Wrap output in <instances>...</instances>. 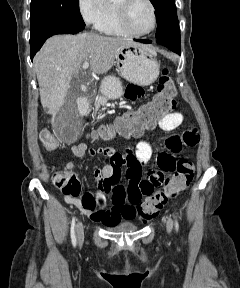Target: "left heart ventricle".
I'll use <instances>...</instances> for the list:
<instances>
[{"instance_id":"1","label":"left heart ventricle","mask_w":240,"mask_h":288,"mask_svg":"<svg viewBox=\"0 0 240 288\" xmlns=\"http://www.w3.org/2000/svg\"><path fill=\"white\" fill-rule=\"evenodd\" d=\"M123 4L124 0H115ZM129 23L131 28L139 33L149 31L153 26V16L150 6L144 0H135L129 6Z\"/></svg>"}]
</instances>
